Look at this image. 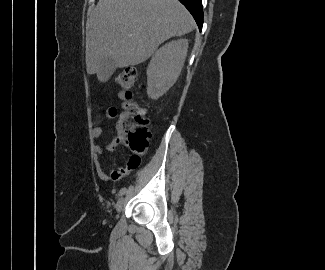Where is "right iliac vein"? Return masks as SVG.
Instances as JSON below:
<instances>
[{"label":"right iliac vein","instance_id":"obj_1","mask_svg":"<svg viewBox=\"0 0 325 270\" xmlns=\"http://www.w3.org/2000/svg\"><path fill=\"white\" fill-rule=\"evenodd\" d=\"M125 205V198L124 197H121L118 199L117 203H116V211L119 213L121 212V210L123 209Z\"/></svg>","mask_w":325,"mask_h":270}]
</instances>
